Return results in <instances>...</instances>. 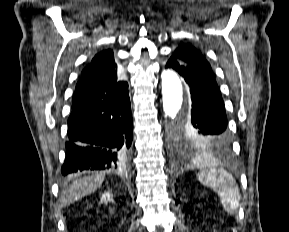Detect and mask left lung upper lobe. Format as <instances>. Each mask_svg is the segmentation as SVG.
I'll return each mask as SVG.
<instances>
[{
  "label": "left lung upper lobe",
  "mask_w": 289,
  "mask_h": 232,
  "mask_svg": "<svg viewBox=\"0 0 289 232\" xmlns=\"http://www.w3.org/2000/svg\"><path fill=\"white\" fill-rule=\"evenodd\" d=\"M172 57L181 63L213 74L210 64L190 45H179ZM172 143L180 151H214L210 141L198 134L187 121H177L172 128Z\"/></svg>",
  "instance_id": "5c2ea615"
}]
</instances>
